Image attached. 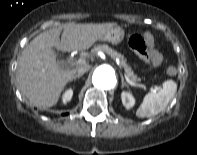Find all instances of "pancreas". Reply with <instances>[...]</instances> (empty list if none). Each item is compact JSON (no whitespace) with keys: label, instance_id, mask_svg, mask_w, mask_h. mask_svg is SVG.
<instances>
[{"label":"pancreas","instance_id":"1","mask_svg":"<svg viewBox=\"0 0 197 155\" xmlns=\"http://www.w3.org/2000/svg\"><path fill=\"white\" fill-rule=\"evenodd\" d=\"M94 51H103L107 53L113 59H119L121 66L124 68L125 74L133 81L138 82L140 78L132 71L131 67L127 64L126 59L120 53H117L114 49L110 48L108 45H98L94 48Z\"/></svg>","mask_w":197,"mask_h":155}]
</instances>
